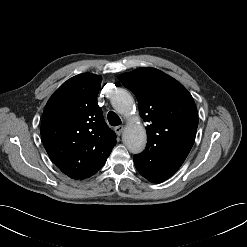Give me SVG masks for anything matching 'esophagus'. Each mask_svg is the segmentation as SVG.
I'll use <instances>...</instances> for the list:
<instances>
[{"mask_svg": "<svg viewBox=\"0 0 247 247\" xmlns=\"http://www.w3.org/2000/svg\"><path fill=\"white\" fill-rule=\"evenodd\" d=\"M124 127L123 126H117L114 128L115 133L120 136L121 133L123 132Z\"/></svg>", "mask_w": 247, "mask_h": 247, "instance_id": "1", "label": "esophagus"}]
</instances>
